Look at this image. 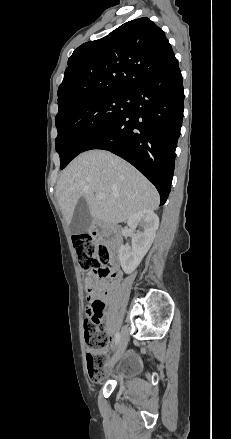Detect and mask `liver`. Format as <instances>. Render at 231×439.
<instances>
[{"instance_id":"6515ba94","label":"liver","mask_w":231,"mask_h":439,"mask_svg":"<svg viewBox=\"0 0 231 439\" xmlns=\"http://www.w3.org/2000/svg\"><path fill=\"white\" fill-rule=\"evenodd\" d=\"M94 193L104 194L98 200ZM56 196L69 225L81 196L90 214L108 224L128 220L142 210H156L160 197L156 188L132 165L105 150L78 155L62 172Z\"/></svg>"}]
</instances>
